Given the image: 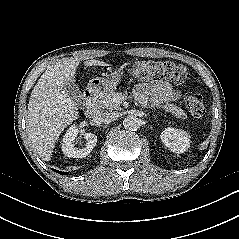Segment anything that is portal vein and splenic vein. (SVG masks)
Returning <instances> with one entry per match:
<instances>
[{"label": "portal vein and splenic vein", "instance_id": "18ae733b", "mask_svg": "<svg viewBox=\"0 0 239 239\" xmlns=\"http://www.w3.org/2000/svg\"><path fill=\"white\" fill-rule=\"evenodd\" d=\"M120 99H121V98L117 97V98L114 99V102L117 103V104H119Z\"/></svg>", "mask_w": 239, "mask_h": 239}]
</instances>
